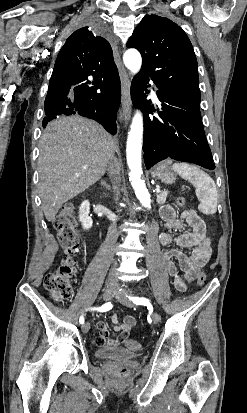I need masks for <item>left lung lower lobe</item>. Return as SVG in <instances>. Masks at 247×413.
<instances>
[{"label": "left lung lower lobe", "mask_w": 247, "mask_h": 413, "mask_svg": "<svg viewBox=\"0 0 247 413\" xmlns=\"http://www.w3.org/2000/svg\"><path fill=\"white\" fill-rule=\"evenodd\" d=\"M150 79L139 73L131 84L134 104L139 105L144 114L143 151L146 168L170 157L215 169L202 125L200 103L157 87L156 95L161 102L156 109L158 116L150 117L148 114H152L155 108L142 93L150 86Z\"/></svg>", "instance_id": "obj_1"}]
</instances>
